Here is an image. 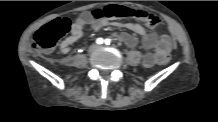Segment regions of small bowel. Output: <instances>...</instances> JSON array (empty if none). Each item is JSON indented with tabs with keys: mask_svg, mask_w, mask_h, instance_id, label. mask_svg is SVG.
I'll return each mask as SVG.
<instances>
[{
	"mask_svg": "<svg viewBox=\"0 0 218 122\" xmlns=\"http://www.w3.org/2000/svg\"><path fill=\"white\" fill-rule=\"evenodd\" d=\"M114 24L118 27H124L132 33L123 32L118 35V38L128 47L134 48L138 44L137 36L142 37L141 45L145 50L154 49V52H147L143 56V65L152 67L155 64H160V58L169 54L172 49V40L168 34H157L156 32L146 33L145 28L134 22L120 23L111 22L108 18H96L93 13L85 12L79 15L71 25L70 34L60 44V51L64 54L71 50L72 45L77 42L83 35L84 28L89 25L92 30L97 31L102 26ZM113 37H117L113 35Z\"/></svg>",
	"mask_w": 218,
	"mask_h": 122,
	"instance_id": "small-bowel-1",
	"label": "small bowel"
}]
</instances>
